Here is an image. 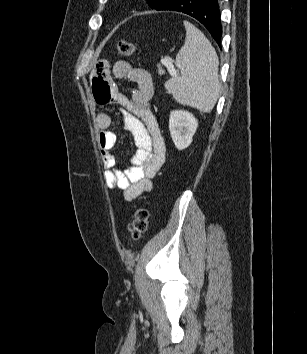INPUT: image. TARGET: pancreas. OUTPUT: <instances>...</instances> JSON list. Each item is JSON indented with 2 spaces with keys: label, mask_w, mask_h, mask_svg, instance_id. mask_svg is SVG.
<instances>
[{
  "label": "pancreas",
  "mask_w": 307,
  "mask_h": 354,
  "mask_svg": "<svg viewBox=\"0 0 307 354\" xmlns=\"http://www.w3.org/2000/svg\"><path fill=\"white\" fill-rule=\"evenodd\" d=\"M165 71L160 65H158V75H164Z\"/></svg>",
  "instance_id": "cf45deb5"
}]
</instances>
